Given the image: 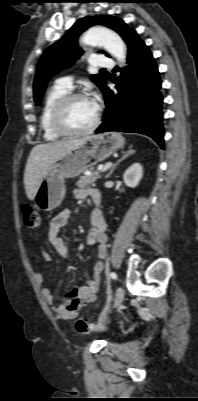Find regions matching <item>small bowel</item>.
I'll return each instance as SVG.
<instances>
[{
	"label": "small bowel",
	"mask_w": 198,
	"mask_h": 401,
	"mask_svg": "<svg viewBox=\"0 0 198 401\" xmlns=\"http://www.w3.org/2000/svg\"><path fill=\"white\" fill-rule=\"evenodd\" d=\"M92 192L96 191L78 188L74 190V196L78 199H83L87 196H91ZM69 217L70 211L68 209L62 210L51 220L48 230V240L50 244L53 246L56 252L66 260L70 258V252L67 245L60 237L59 232L67 225ZM107 240L106 223L103 218L102 211L98 208H94L91 211V228L87 236V243L90 246L96 245L98 247L99 261L94 265L93 273L88 284L78 285L74 288V297L70 300V303L75 306V310L70 311L64 306H57L54 308V311L59 318L75 319L82 307L95 300L96 294L101 287L103 270L102 260L107 255ZM44 257L46 259H50L51 255L48 252H44ZM35 279L39 285H43L45 282L44 276L38 272L35 274ZM42 295L49 304H54V294L48 288L42 289ZM94 328L95 326L93 323L79 325L77 322L76 324V329L81 334H87Z\"/></svg>",
	"instance_id": "obj_1"
}]
</instances>
